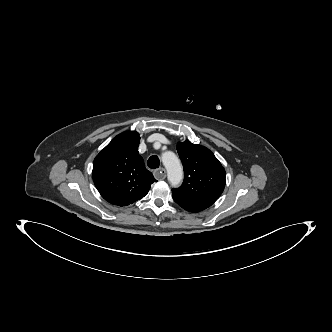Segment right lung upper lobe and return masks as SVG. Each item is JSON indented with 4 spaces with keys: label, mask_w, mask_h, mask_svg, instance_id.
Listing matches in <instances>:
<instances>
[{
    "label": "right lung upper lobe",
    "mask_w": 332,
    "mask_h": 332,
    "mask_svg": "<svg viewBox=\"0 0 332 332\" xmlns=\"http://www.w3.org/2000/svg\"><path fill=\"white\" fill-rule=\"evenodd\" d=\"M139 133L117 135L95 157L93 181L101 196L111 204L127 206L144 197L156 179L138 155Z\"/></svg>",
    "instance_id": "cb5924a9"
}]
</instances>
